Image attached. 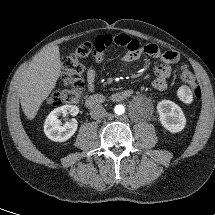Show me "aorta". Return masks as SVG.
<instances>
[{"mask_svg": "<svg viewBox=\"0 0 215 215\" xmlns=\"http://www.w3.org/2000/svg\"><path fill=\"white\" fill-rule=\"evenodd\" d=\"M125 112V108L122 105H118L115 107V113L117 115H122Z\"/></svg>", "mask_w": 215, "mask_h": 215, "instance_id": "1", "label": "aorta"}]
</instances>
